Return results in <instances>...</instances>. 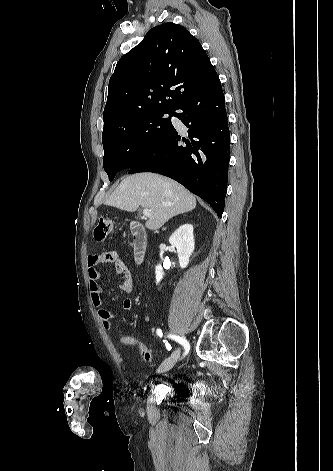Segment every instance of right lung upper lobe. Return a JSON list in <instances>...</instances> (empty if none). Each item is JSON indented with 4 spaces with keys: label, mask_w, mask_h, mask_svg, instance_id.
<instances>
[{
    "label": "right lung upper lobe",
    "mask_w": 333,
    "mask_h": 471,
    "mask_svg": "<svg viewBox=\"0 0 333 471\" xmlns=\"http://www.w3.org/2000/svg\"><path fill=\"white\" fill-rule=\"evenodd\" d=\"M217 75L200 42L183 26L165 23L121 57L109 80L104 130L147 110L175 111Z\"/></svg>",
    "instance_id": "right-lung-upper-lobe-1"
}]
</instances>
